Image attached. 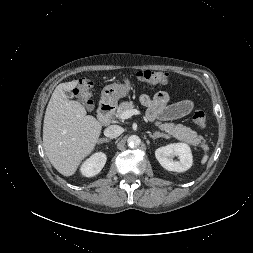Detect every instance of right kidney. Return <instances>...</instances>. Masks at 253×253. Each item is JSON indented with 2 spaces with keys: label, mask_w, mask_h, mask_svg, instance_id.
Listing matches in <instances>:
<instances>
[{
  "label": "right kidney",
  "mask_w": 253,
  "mask_h": 253,
  "mask_svg": "<svg viewBox=\"0 0 253 253\" xmlns=\"http://www.w3.org/2000/svg\"><path fill=\"white\" fill-rule=\"evenodd\" d=\"M107 157L104 153L98 152L93 154L81 166V173L86 177L97 175L106 163Z\"/></svg>",
  "instance_id": "ca27d5eb"
}]
</instances>
